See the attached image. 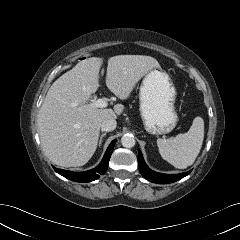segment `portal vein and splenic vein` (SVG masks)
I'll list each match as a JSON object with an SVG mask.
<instances>
[{"label": "portal vein and splenic vein", "mask_w": 240, "mask_h": 240, "mask_svg": "<svg viewBox=\"0 0 240 240\" xmlns=\"http://www.w3.org/2000/svg\"><path fill=\"white\" fill-rule=\"evenodd\" d=\"M108 102L105 99H98L89 103V106L92 108H105L107 107Z\"/></svg>", "instance_id": "18ae733b"}]
</instances>
